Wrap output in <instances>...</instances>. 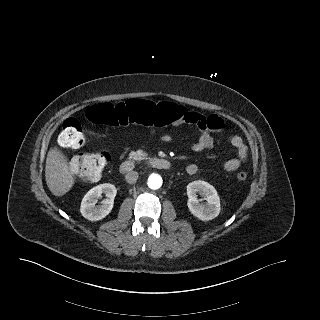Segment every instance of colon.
I'll return each mask as SVG.
<instances>
[{
  "label": "colon",
  "mask_w": 320,
  "mask_h": 320,
  "mask_svg": "<svg viewBox=\"0 0 320 320\" xmlns=\"http://www.w3.org/2000/svg\"><path fill=\"white\" fill-rule=\"evenodd\" d=\"M88 120L113 127L137 123L146 126L162 127L182 117L180 107L168 103H153L143 99H129L125 102L99 103L86 111ZM59 143L64 148H79L84 143L82 123L77 118L64 121L59 135ZM110 157L106 152L81 153L73 157L71 166L83 180L96 181L106 169ZM248 175L241 171L237 179L245 181Z\"/></svg>",
  "instance_id": "obj_1"
}]
</instances>
